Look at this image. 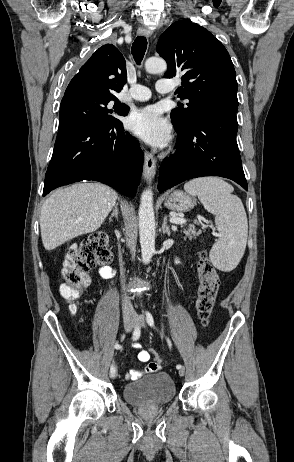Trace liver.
I'll return each instance as SVG.
<instances>
[{"label": "liver", "instance_id": "1", "mask_svg": "<svg viewBox=\"0 0 294 462\" xmlns=\"http://www.w3.org/2000/svg\"><path fill=\"white\" fill-rule=\"evenodd\" d=\"M117 197L112 188L100 183H81L55 191L41 209L44 248L53 250L77 236L96 231Z\"/></svg>", "mask_w": 294, "mask_h": 462}]
</instances>
